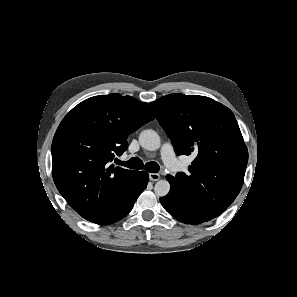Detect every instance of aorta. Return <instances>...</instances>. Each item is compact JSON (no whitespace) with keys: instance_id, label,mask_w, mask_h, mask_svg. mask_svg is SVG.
<instances>
[{"instance_id":"762f6f07","label":"aorta","mask_w":297,"mask_h":297,"mask_svg":"<svg viewBox=\"0 0 297 297\" xmlns=\"http://www.w3.org/2000/svg\"><path fill=\"white\" fill-rule=\"evenodd\" d=\"M139 143L142 148L155 151L160 147V137L154 130H144L139 135ZM170 191V184L167 180H158L154 186V192L157 196H166Z\"/></svg>"}]
</instances>
